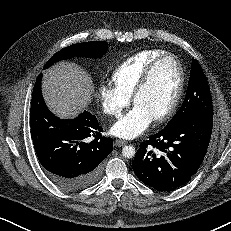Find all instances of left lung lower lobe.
I'll use <instances>...</instances> for the list:
<instances>
[{
	"mask_svg": "<svg viewBox=\"0 0 231 231\" xmlns=\"http://www.w3.org/2000/svg\"><path fill=\"white\" fill-rule=\"evenodd\" d=\"M213 117L191 115L142 142L132 168L146 185L172 191L188 182L206 155Z\"/></svg>",
	"mask_w": 231,
	"mask_h": 231,
	"instance_id": "0a47b994",
	"label": "left lung lower lobe"
}]
</instances>
